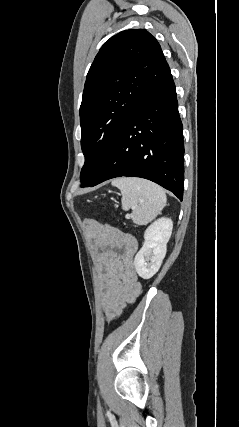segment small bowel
I'll return each instance as SVG.
<instances>
[{"instance_id": "c3829d8e", "label": "small bowel", "mask_w": 239, "mask_h": 427, "mask_svg": "<svg viewBox=\"0 0 239 427\" xmlns=\"http://www.w3.org/2000/svg\"><path fill=\"white\" fill-rule=\"evenodd\" d=\"M102 274V305L109 320L119 316L140 294L134 265L137 243L129 234L109 225L86 222Z\"/></svg>"}]
</instances>
